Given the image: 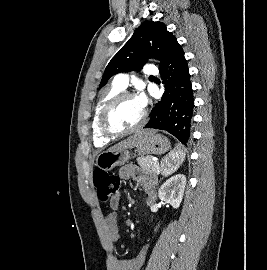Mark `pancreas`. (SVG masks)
<instances>
[{"label": "pancreas", "mask_w": 267, "mask_h": 270, "mask_svg": "<svg viewBox=\"0 0 267 270\" xmlns=\"http://www.w3.org/2000/svg\"><path fill=\"white\" fill-rule=\"evenodd\" d=\"M137 162L140 165L143 172L157 176L159 172L158 162L153 160L152 156L138 157Z\"/></svg>", "instance_id": "cf45deb5"}]
</instances>
